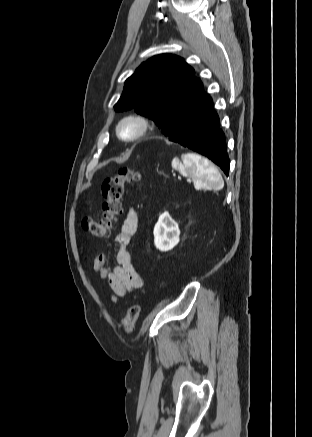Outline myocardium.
Instances as JSON below:
<instances>
[{
	"mask_svg": "<svg viewBox=\"0 0 312 437\" xmlns=\"http://www.w3.org/2000/svg\"><path fill=\"white\" fill-rule=\"evenodd\" d=\"M130 122H133L137 125V130L134 134L126 136L123 134V127ZM149 128L150 122L146 116L139 113H131L125 115L119 120L116 126V133L121 140L126 142H134L145 136Z\"/></svg>",
	"mask_w": 312,
	"mask_h": 437,
	"instance_id": "obj_1",
	"label": "myocardium"
}]
</instances>
